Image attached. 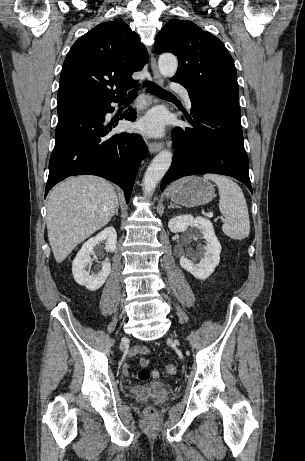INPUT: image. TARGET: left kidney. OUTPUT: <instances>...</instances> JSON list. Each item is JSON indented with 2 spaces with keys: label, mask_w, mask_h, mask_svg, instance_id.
Masks as SVG:
<instances>
[{
  "label": "left kidney",
  "mask_w": 305,
  "mask_h": 461,
  "mask_svg": "<svg viewBox=\"0 0 305 461\" xmlns=\"http://www.w3.org/2000/svg\"><path fill=\"white\" fill-rule=\"evenodd\" d=\"M194 227L206 240V246L199 249L201 260L199 263H195L192 259L193 251L188 249L187 253L180 257V265L183 269L191 273L195 278L199 280L207 279L215 270L220 262L221 244L215 236L212 223L203 218L192 215H180L172 218L168 227L171 232L178 233L184 232L188 227Z\"/></svg>",
  "instance_id": "5707ae66"
}]
</instances>
